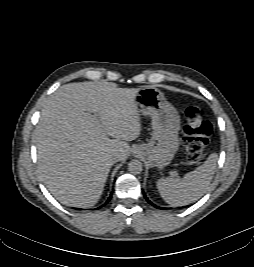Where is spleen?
<instances>
[{"mask_svg": "<svg viewBox=\"0 0 254 267\" xmlns=\"http://www.w3.org/2000/svg\"><path fill=\"white\" fill-rule=\"evenodd\" d=\"M217 160V153H212L201 166L186 173L183 178H160L157 188L161 197L172 206L188 205L198 200L209 188Z\"/></svg>", "mask_w": 254, "mask_h": 267, "instance_id": "spleen-1", "label": "spleen"}]
</instances>
